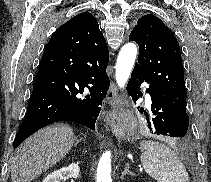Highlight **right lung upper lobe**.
I'll list each match as a JSON object with an SVG mask.
<instances>
[{
	"instance_id": "obj_1",
	"label": "right lung upper lobe",
	"mask_w": 211,
	"mask_h": 182,
	"mask_svg": "<svg viewBox=\"0 0 211 182\" xmlns=\"http://www.w3.org/2000/svg\"><path fill=\"white\" fill-rule=\"evenodd\" d=\"M56 32L69 35L71 39H74L76 43L80 44L106 43L102 32L99 30L97 20L88 12L76 15L62 25Z\"/></svg>"
}]
</instances>
